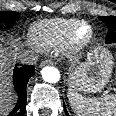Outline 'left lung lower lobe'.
Listing matches in <instances>:
<instances>
[{"label":"left lung lower lobe","instance_id":"left-lung-lower-lobe-1","mask_svg":"<svg viewBox=\"0 0 116 116\" xmlns=\"http://www.w3.org/2000/svg\"><path fill=\"white\" fill-rule=\"evenodd\" d=\"M63 105H64V110H65L66 116H69V114H68V112H67V110H66V106H65L64 103H63Z\"/></svg>","mask_w":116,"mask_h":116}]
</instances>
